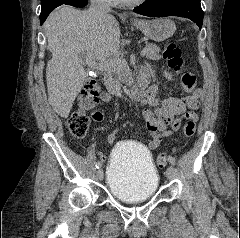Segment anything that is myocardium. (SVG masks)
<instances>
[{
	"instance_id": "f54148a6",
	"label": "myocardium",
	"mask_w": 240,
	"mask_h": 238,
	"mask_svg": "<svg viewBox=\"0 0 240 238\" xmlns=\"http://www.w3.org/2000/svg\"><path fill=\"white\" fill-rule=\"evenodd\" d=\"M146 0H118L119 5L123 6H136L144 3Z\"/></svg>"
}]
</instances>
